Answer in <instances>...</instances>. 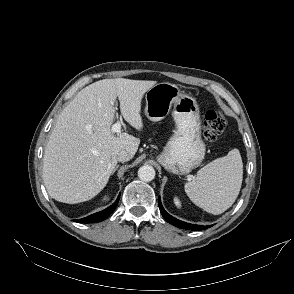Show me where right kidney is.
<instances>
[{"mask_svg": "<svg viewBox=\"0 0 294 294\" xmlns=\"http://www.w3.org/2000/svg\"><path fill=\"white\" fill-rule=\"evenodd\" d=\"M103 200H104V201L109 200L108 196H105Z\"/></svg>", "mask_w": 294, "mask_h": 294, "instance_id": "1", "label": "right kidney"}]
</instances>
